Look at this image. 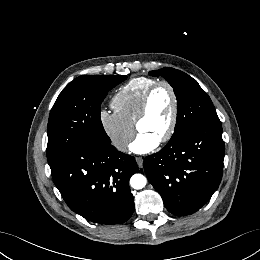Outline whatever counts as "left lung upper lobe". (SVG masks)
<instances>
[{"mask_svg":"<svg viewBox=\"0 0 260 260\" xmlns=\"http://www.w3.org/2000/svg\"><path fill=\"white\" fill-rule=\"evenodd\" d=\"M151 76H163L174 88L178 102L177 120L169 142L182 137L192 128L213 122H220L207 93L196 80L173 68L150 71Z\"/></svg>","mask_w":260,"mask_h":260,"instance_id":"1","label":"left lung upper lobe"}]
</instances>
